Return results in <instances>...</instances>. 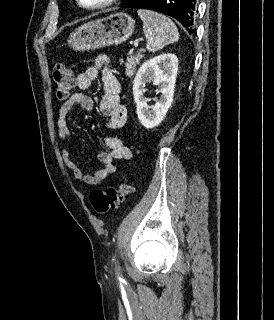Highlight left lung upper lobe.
Wrapping results in <instances>:
<instances>
[{
	"mask_svg": "<svg viewBox=\"0 0 274 320\" xmlns=\"http://www.w3.org/2000/svg\"><path fill=\"white\" fill-rule=\"evenodd\" d=\"M126 1H127V0H124V2H123V3H125ZM123 3H122V4H123Z\"/></svg>",
	"mask_w": 274,
	"mask_h": 320,
	"instance_id": "1",
	"label": "left lung upper lobe"
}]
</instances>
